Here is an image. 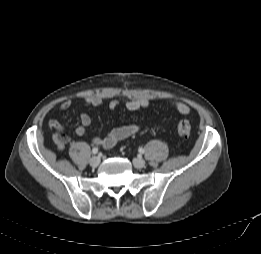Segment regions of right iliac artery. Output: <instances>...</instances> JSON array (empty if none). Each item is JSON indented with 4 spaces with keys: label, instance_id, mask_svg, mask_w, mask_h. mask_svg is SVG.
Returning a JSON list of instances; mask_svg holds the SVG:
<instances>
[{
    "label": "right iliac artery",
    "instance_id": "82829eb1",
    "mask_svg": "<svg viewBox=\"0 0 261 254\" xmlns=\"http://www.w3.org/2000/svg\"><path fill=\"white\" fill-rule=\"evenodd\" d=\"M92 152H93V154H97V153H98V148H97V147H94V148L92 149Z\"/></svg>",
    "mask_w": 261,
    "mask_h": 254
}]
</instances>
